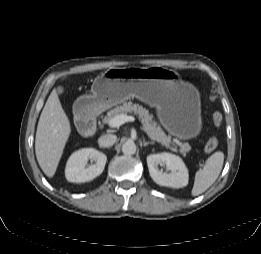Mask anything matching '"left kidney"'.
<instances>
[{
	"label": "left kidney",
	"instance_id": "1",
	"mask_svg": "<svg viewBox=\"0 0 261 254\" xmlns=\"http://www.w3.org/2000/svg\"><path fill=\"white\" fill-rule=\"evenodd\" d=\"M147 165L151 178L160 186L182 188L188 184L189 174L183 160L170 153H158L147 156ZM159 165L166 166L163 172Z\"/></svg>",
	"mask_w": 261,
	"mask_h": 254
}]
</instances>
